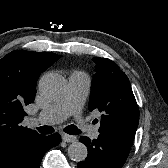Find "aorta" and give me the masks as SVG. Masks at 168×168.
<instances>
[{"label":"aorta","instance_id":"1","mask_svg":"<svg viewBox=\"0 0 168 168\" xmlns=\"http://www.w3.org/2000/svg\"><path fill=\"white\" fill-rule=\"evenodd\" d=\"M65 87L64 78L57 73H47L39 82L40 93L47 100L59 98L63 94ZM67 152L69 158L75 162L85 160L88 154L87 147L81 142L70 144Z\"/></svg>","mask_w":168,"mask_h":168}]
</instances>
